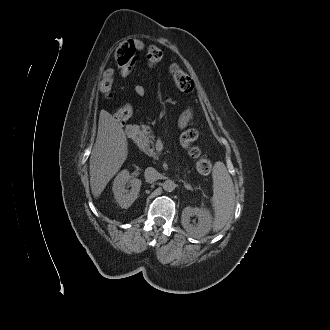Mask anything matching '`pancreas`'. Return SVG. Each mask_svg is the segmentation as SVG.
<instances>
[{
    "label": "pancreas",
    "mask_w": 330,
    "mask_h": 330,
    "mask_svg": "<svg viewBox=\"0 0 330 330\" xmlns=\"http://www.w3.org/2000/svg\"><path fill=\"white\" fill-rule=\"evenodd\" d=\"M153 138L154 135L151 131L143 132L140 136V145L147 155L152 156L156 159L158 157V154L156 153L154 148H151V146L154 147V142L152 140Z\"/></svg>",
    "instance_id": "1"
}]
</instances>
